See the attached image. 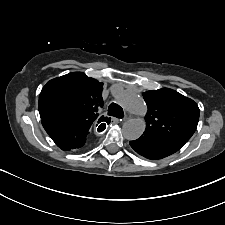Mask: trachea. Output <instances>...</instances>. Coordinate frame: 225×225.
<instances>
[{
	"label": "trachea",
	"instance_id": "1",
	"mask_svg": "<svg viewBox=\"0 0 225 225\" xmlns=\"http://www.w3.org/2000/svg\"><path fill=\"white\" fill-rule=\"evenodd\" d=\"M108 115L116 117V118H123L124 112H123V109L119 105L112 103V104H110V106L108 108Z\"/></svg>",
	"mask_w": 225,
	"mask_h": 225
}]
</instances>
